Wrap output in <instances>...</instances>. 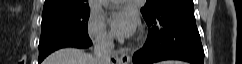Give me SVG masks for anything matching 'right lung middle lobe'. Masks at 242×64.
Segmentation results:
<instances>
[{
  "instance_id": "dd1d6c3e",
  "label": "right lung middle lobe",
  "mask_w": 242,
  "mask_h": 64,
  "mask_svg": "<svg viewBox=\"0 0 242 64\" xmlns=\"http://www.w3.org/2000/svg\"><path fill=\"white\" fill-rule=\"evenodd\" d=\"M90 9L42 14L39 60L64 47L84 48L92 42L87 22Z\"/></svg>"
}]
</instances>
